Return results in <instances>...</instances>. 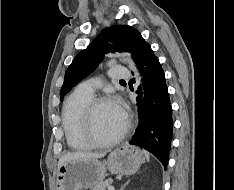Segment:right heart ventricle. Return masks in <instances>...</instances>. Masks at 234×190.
Returning a JSON list of instances; mask_svg holds the SVG:
<instances>
[{"label":"right heart ventricle","instance_id":"obj_1","mask_svg":"<svg viewBox=\"0 0 234 190\" xmlns=\"http://www.w3.org/2000/svg\"><path fill=\"white\" fill-rule=\"evenodd\" d=\"M93 97L75 90L64 102L62 125L68 145L76 150H87L93 144L87 139L83 129V112Z\"/></svg>","mask_w":234,"mask_h":190}]
</instances>
